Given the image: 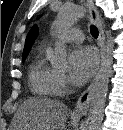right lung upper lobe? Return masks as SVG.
<instances>
[{"label": "right lung upper lobe", "mask_w": 123, "mask_h": 130, "mask_svg": "<svg viewBox=\"0 0 123 130\" xmlns=\"http://www.w3.org/2000/svg\"><path fill=\"white\" fill-rule=\"evenodd\" d=\"M37 33H38L37 26H33L27 35L24 50H23V56H25L29 53L30 48H31L36 36H37Z\"/></svg>", "instance_id": "right-lung-upper-lobe-1"}]
</instances>
